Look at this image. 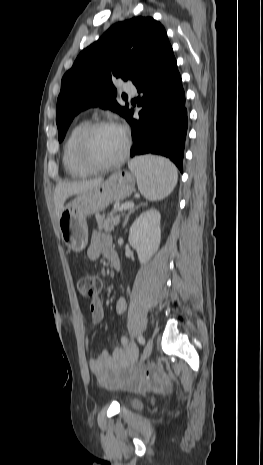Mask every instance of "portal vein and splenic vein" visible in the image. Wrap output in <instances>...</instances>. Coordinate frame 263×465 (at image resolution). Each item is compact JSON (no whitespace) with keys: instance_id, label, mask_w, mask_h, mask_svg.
Returning a JSON list of instances; mask_svg holds the SVG:
<instances>
[{"instance_id":"obj_1","label":"portal vein and splenic vein","mask_w":263,"mask_h":465,"mask_svg":"<svg viewBox=\"0 0 263 465\" xmlns=\"http://www.w3.org/2000/svg\"><path fill=\"white\" fill-rule=\"evenodd\" d=\"M133 206H134V203L128 202V203L122 204V205L117 209V211L128 210V209L132 208Z\"/></svg>"}]
</instances>
